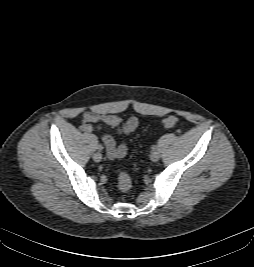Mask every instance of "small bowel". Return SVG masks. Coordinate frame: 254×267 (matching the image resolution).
I'll return each mask as SVG.
<instances>
[{"label": "small bowel", "mask_w": 254, "mask_h": 267, "mask_svg": "<svg viewBox=\"0 0 254 267\" xmlns=\"http://www.w3.org/2000/svg\"><path fill=\"white\" fill-rule=\"evenodd\" d=\"M93 124H97V126L95 127ZM101 125L110 126L116 129L118 135L125 136L133 133L138 128L139 121L136 117H130L123 121L120 116L113 114H98L94 112L83 114L81 125L83 131L92 132L96 128H100ZM102 140L110 158H122L126 155L127 145L124 141L117 146L115 139L109 134H104Z\"/></svg>", "instance_id": "small-bowel-1"}]
</instances>
